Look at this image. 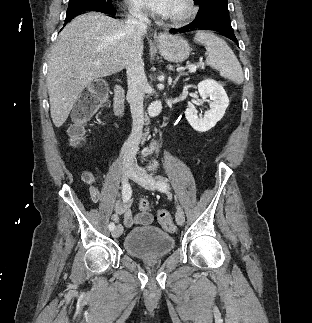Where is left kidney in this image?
Wrapping results in <instances>:
<instances>
[{
    "mask_svg": "<svg viewBox=\"0 0 312 323\" xmlns=\"http://www.w3.org/2000/svg\"><path fill=\"white\" fill-rule=\"evenodd\" d=\"M198 92L203 102H209L210 110L205 112L203 118H199L195 106H188L185 116L193 130H196V132H208L223 118L225 110L229 106V100L224 88L215 80H203V82H200ZM206 98H210L212 102L206 100Z\"/></svg>",
    "mask_w": 312,
    "mask_h": 323,
    "instance_id": "left-kidney-1",
    "label": "left kidney"
}]
</instances>
